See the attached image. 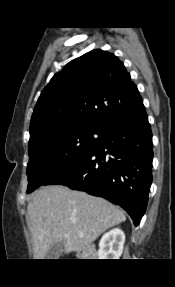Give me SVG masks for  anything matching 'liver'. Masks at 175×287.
Here are the masks:
<instances>
[{
  "instance_id": "liver-1",
  "label": "liver",
  "mask_w": 175,
  "mask_h": 287,
  "mask_svg": "<svg viewBox=\"0 0 175 287\" xmlns=\"http://www.w3.org/2000/svg\"><path fill=\"white\" fill-rule=\"evenodd\" d=\"M27 211L35 259H44L50 246L61 240L65 254L81 252L104 231L126 220L110 202L60 185L36 191Z\"/></svg>"
}]
</instances>
